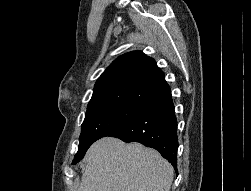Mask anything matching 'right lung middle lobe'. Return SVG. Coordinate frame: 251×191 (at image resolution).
Instances as JSON below:
<instances>
[{"mask_svg":"<svg viewBox=\"0 0 251 191\" xmlns=\"http://www.w3.org/2000/svg\"><path fill=\"white\" fill-rule=\"evenodd\" d=\"M142 108L112 103L87 109L79 138V148L72 164L78 163L88 148L96 140L106 137L111 131L117 129Z\"/></svg>","mask_w":251,"mask_h":191,"instance_id":"1","label":"right lung middle lobe"}]
</instances>
